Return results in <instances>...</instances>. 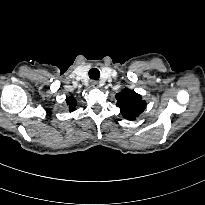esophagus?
I'll return each instance as SVG.
<instances>
[{
    "mask_svg": "<svg viewBox=\"0 0 205 205\" xmlns=\"http://www.w3.org/2000/svg\"><path fill=\"white\" fill-rule=\"evenodd\" d=\"M91 86H92V88H95V89L100 87L98 82H96V81H93Z\"/></svg>",
    "mask_w": 205,
    "mask_h": 205,
    "instance_id": "34e87169",
    "label": "esophagus"
}]
</instances>
